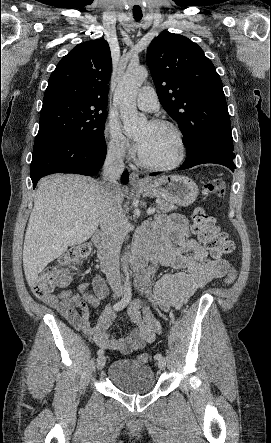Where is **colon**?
<instances>
[{
    "label": "colon",
    "instance_id": "colon-1",
    "mask_svg": "<svg viewBox=\"0 0 271 443\" xmlns=\"http://www.w3.org/2000/svg\"><path fill=\"white\" fill-rule=\"evenodd\" d=\"M206 194L224 197L226 183L221 178L210 180L204 186ZM192 230L207 251L214 257H221L234 249V243L228 235L216 225L215 219L203 209H197L192 216ZM92 252L90 243H83L70 249L56 264L44 268L37 279L32 283V293L40 299L51 296V293L59 287H63L69 281V268L86 259ZM236 270L230 269L225 277V283L231 285L236 280ZM138 360L144 363L150 361L147 353H140Z\"/></svg>",
    "mask_w": 271,
    "mask_h": 443
}]
</instances>
